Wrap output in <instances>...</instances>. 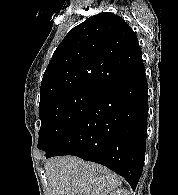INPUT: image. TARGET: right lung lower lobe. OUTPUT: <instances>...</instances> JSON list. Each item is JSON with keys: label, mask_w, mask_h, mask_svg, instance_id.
I'll list each match as a JSON object with an SVG mask.
<instances>
[{"label": "right lung lower lobe", "mask_w": 178, "mask_h": 195, "mask_svg": "<svg viewBox=\"0 0 178 195\" xmlns=\"http://www.w3.org/2000/svg\"><path fill=\"white\" fill-rule=\"evenodd\" d=\"M145 67L99 90L85 116L46 158L74 155L123 176L133 189L143 171L148 116Z\"/></svg>", "instance_id": "1"}]
</instances>
